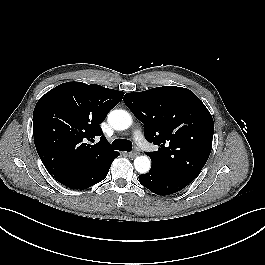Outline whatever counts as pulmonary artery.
Wrapping results in <instances>:
<instances>
[{
	"label": "pulmonary artery",
	"instance_id": "e3ab8cb5",
	"mask_svg": "<svg viewBox=\"0 0 265 265\" xmlns=\"http://www.w3.org/2000/svg\"><path fill=\"white\" fill-rule=\"evenodd\" d=\"M132 137L136 141L139 147L141 148L145 147V141H144L143 135L139 130H135L132 134Z\"/></svg>",
	"mask_w": 265,
	"mask_h": 265
}]
</instances>
